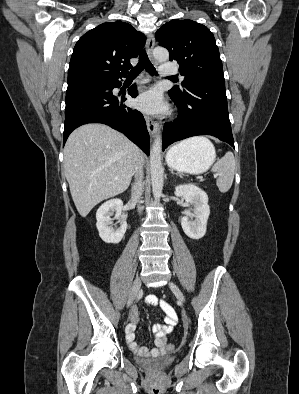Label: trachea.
<instances>
[{"mask_svg":"<svg viewBox=\"0 0 299 394\" xmlns=\"http://www.w3.org/2000/svg\"><path fill=\"white\" fill-rule=\"evenodd\" d=\"M143 69H145L150 74L157 75L156 70L149 61L145 51H142L140 54L139 63L130 71L127 79L136 78ZM169 79H175V77H169Z\"/></svg>","mask_w":299,"mask_h":394,"instance_id":"trachea-1","label":"trachea"}]
</instances>
